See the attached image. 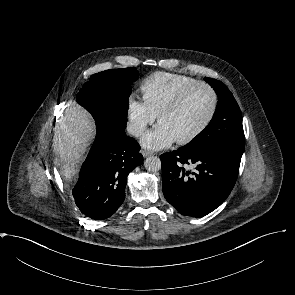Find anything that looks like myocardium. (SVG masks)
<instances>
[{
	"mask_svg": "<svg viewBox=\"0 0 295 295\" xmlns=\"http://www.w3.org/2000/svg\"><path fill=\"white\" fill-rule=\"evenodd\" d=\"M198 87H205L211 93L213 98L212 109L208 118L197 130H195L192 134L186 137L177 139V143L182 145L191 143L198 139L213 123L217 115L220 103L219 95L216 89L208 82L196 81L195 83L183 89L158 115V121L161 123V120L165 116L177 111L182 106L187 97Z\"/></svg>",
	"mask_w": 295,
	"mask_h": 295,
	"instance_id": "myocardium-1",
	"label": "myocardium"
}]
</instances>
